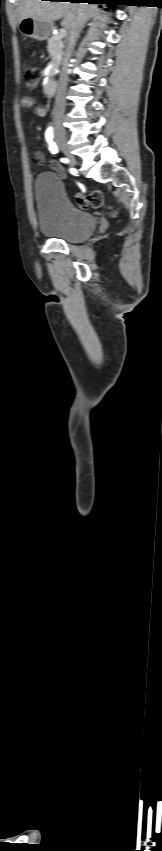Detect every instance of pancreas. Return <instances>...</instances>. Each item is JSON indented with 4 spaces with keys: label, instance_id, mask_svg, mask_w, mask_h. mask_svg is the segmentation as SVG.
<instances>
[{
    "label": "pancreas",
    "instance_id": "1",
    "mask_svg": "<svg viewBox=\"0 0 162 851\" xmlns=\"http://www.w3.org/2000/svg\"><path fill=\"white\" fill-rule=\"evenodd\" d=\"M64 41L60 35H54L48 39V52L51 57L50 64L52 68L50 69L51 76L56 74V71L61 64V54L63 53Z\"/></svg>",
    "mask_w": 162,
    "mask_h": 851
}]
</instances>
